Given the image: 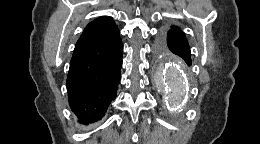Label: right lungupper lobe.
I'll use <instances>...</instances> for the list:
<instances>
[{
	"label": "right lung upper lobe",
	"instance_id": "right-lung-upper-lobe-1",
	"mask_svg": "<svg viewBox=\"0 0 260 144\" xmlns=\"http://www.w3.org/2000/svg\"><path fill=\"white\" fill-rule=\"evenodd\" d=\"M118 34L119 29L115 22L109 16H102L93 20L85 27L76 46L112 39Z\"/></svg>",
	"mask_w": 260,
	"mask_h": 144
}]
</instances>
